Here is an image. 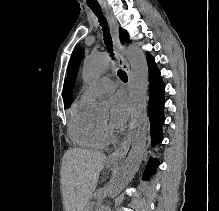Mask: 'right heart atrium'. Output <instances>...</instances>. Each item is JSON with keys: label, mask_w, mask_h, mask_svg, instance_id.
Wrapping results in <instances>:
<instances>
[{"label": "right heart atrium", "mask_w": 219, "mask_h": 211, "mask_svg": "<svg viewBox=\"0 0 219 211\" xmlns=\"http://www.w3.org/2000/svg\"><path fill=\"white\" fill-rule=\"evenodd\" d=\"M101 128L106 140H110L113 137V133L110 128L106 124H102Z\"/></svg>", "instance_id": "right-heart-atrium-1"}]
</instances>
